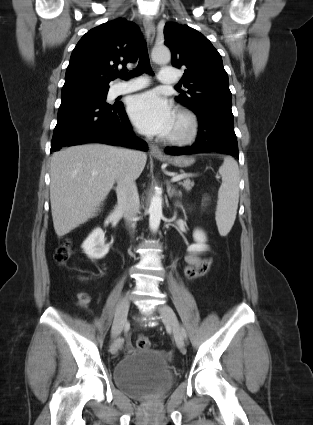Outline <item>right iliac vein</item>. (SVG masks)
<instances>
[{
  "label": "right iliac vein",
  "instance_id": "1",
  "mask_svg": "<svg viewBox=\"0 0 313 425\" xmlns=\"http://www.w3.org/2000/svg\"><path fill=\"white\" fill-rule=\"evenodd\" d=\"M129 294L127 293L119 302L116 314L114 317L113 325H112V338L116 339L119 334L121 333L126 321H127V314L129 310L130 305V298ZM118 344H115V348H117Z\"/></svg>",
  "mask_w": 313,
  "mask_h": 425
}]
</instances>
